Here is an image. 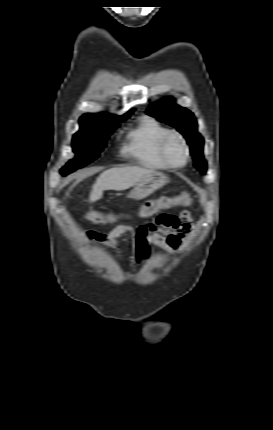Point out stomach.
I'll return each mask as SVG.
<instances>
[{"instance_id": "0dacf381", "label": "stomach", "mask_w": 273, "mask_h": 430, "mask_svg": "<svg viewBox=\"0 0 273 430\" xmlns=\"http://www.w3.org/2000/svg\"><path fill=\"white\" fill-rule=\"evenodd\" d=\"M167 181L166 176L158 171L145 176L134 185V189L129 194L130 198L143 199L161 188Z\"/></svg>"}]
</instances>
